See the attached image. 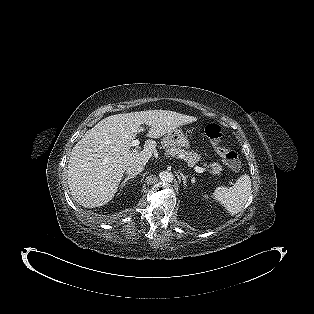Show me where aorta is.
<instances>
[{"instance_id": "obj_1", "label": "aorta", "mask_w": 314, "mask_h": 314, "mask_svg": "<svg viewBox=\"0 0 314 314\" xmlns=\"http://www.w3.org/2000/svg\"><path fill=\"white\" fill-rule=\"evenodd\" d=\"M159 177L164 183H171L174 180V175L169 171L161 172Z\"/></svg>"}]
</instances>
